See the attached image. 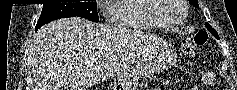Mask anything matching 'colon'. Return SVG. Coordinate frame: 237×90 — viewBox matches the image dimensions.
Returning <instances> with one entry per match:
<instances>
[{
  "label": "colon",
  "mask_w": 237,
  "mask_h": 90,
  "mask_svg": "<svg viewBox=\"0 0 237 90\" xmlns=\"http://www.w3.org/2000/svg\"><path fill=\"white\" fill-rule=\"evenodd\" d=\"M207 41L208 35L205 32L200 31L193 36L184 38L181 41V49L185 54H191L197 47L206 44Z\"/></svg>",
  "instance_id": "colon-1"
}]
</instances>
